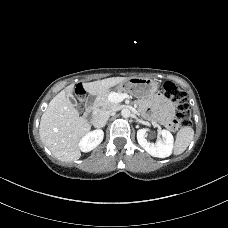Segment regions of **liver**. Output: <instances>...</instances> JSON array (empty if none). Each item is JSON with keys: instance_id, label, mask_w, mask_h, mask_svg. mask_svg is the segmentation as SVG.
<instances>
[{"instance_id": "1", "label": "liver", "mask_w": 228, "mask_h": 228, "mask_svg": "<svg viewBox=\"0 0 228 228\" xmlns=\"http://www.w3.org/2000/svg\"><path fill=\"white\" fill-rule=\"evenodd\" d=\"M126 79V77L106 78L83 83V88L89 94L99 96ZM73 90L74 84H71L50 101L39 126V135L43 144L58 160L65 162L78 160L81 157L79 142L91 129L89 122L80 117L69 99Z\"/></svg>"}]
</instances>
